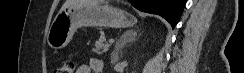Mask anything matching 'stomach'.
Here are the masks:
<instances>
[{"instance_id": "obj_1", "label": "stomach", "mask_w": 244, "mask_h": 73, "mask_svg": "<svg viewBox=\"0 0 244 73\" xmlns=\"http://www.w3.org/2000/svg\"><path fill=\"white\" fill-rule=\"evenodd\" d=\"M136 23L134 16L111 5L74 2L61 9L47 35L52 49H62L71 41L76 29L82 26L128 28Z\"/></svg>"}]
</instances>
